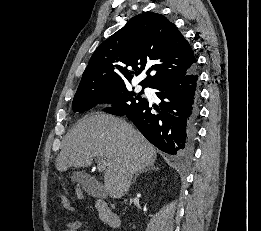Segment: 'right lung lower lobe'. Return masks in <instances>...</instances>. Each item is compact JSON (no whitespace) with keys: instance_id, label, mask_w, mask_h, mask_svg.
Returning a JSON list of instances; mask_svg holds the SVG:
<instances>
[{"instance_id":"right-lung-lower-lobe-1","label":"right lung lower lobe","mask_w":261,"mask_h":231,"mask_svg":"<svg viewBox=\"0 0 261 231\" xmlns=\"http://www.w3.org/2000/svg\"><path fill=\"white\" fill-rule=\"evenodd\" d=\"M161 99L160 110L148 101L128 112L140 132L157 148L170 155L188 156L195 137V119L199 97L196 67L187 74L152 87ZM158 113H152V109Z\"/></svg>"}]
</instances>
